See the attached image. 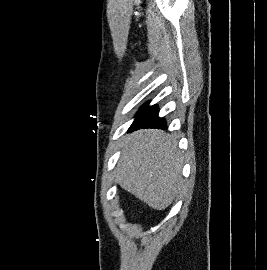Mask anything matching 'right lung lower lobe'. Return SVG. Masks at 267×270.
<instances>
[{
    "label": "right lung lower lobe",
    "mask_w": 267,
    "mask_h": 270,
    "mask_svg": "<svg viewBox=\"0 0 267 270\" xmlns=\"http://www.w3.org/2000/svg\"><path fill=\"white\" fill-rule=\"evenodd\" d=\"M166 127V121L158 116V108L156 105L149 106L147 103L137 112L136 118L129 128V132L141 128L165 129Z\"/></svg>",
    "instance_id": "1"
}]
</instances>
